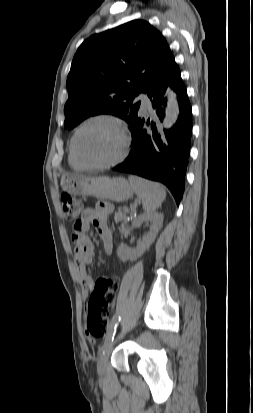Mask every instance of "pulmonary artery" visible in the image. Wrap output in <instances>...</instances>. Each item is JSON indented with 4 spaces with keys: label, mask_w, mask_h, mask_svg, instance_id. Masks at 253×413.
Masks as SVG:
<instances>
[{
    "label": "pulmonary artery",
    "mask_w": 253,
    "mask_h": 413,
    "mask_svg": "<svg viewBox=\"0 0 253 413\" xmlns=\"http://www.w3.org/2000/svg\"><path fill=\"white\" fill-rule=\"evenodd\" d=\"M137 100H139L141 102V109L143 111H145L147 109H150L151 101H150L149 97L146 94H144V93L140 94L137 97Z\"/></svg>",
    "instance_id": "pulmonary-artery-1"
}]
</instances>
